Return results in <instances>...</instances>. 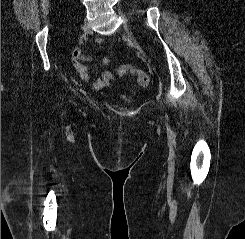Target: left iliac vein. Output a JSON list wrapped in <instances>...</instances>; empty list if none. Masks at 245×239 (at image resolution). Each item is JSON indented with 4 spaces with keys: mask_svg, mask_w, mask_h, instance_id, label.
<instances>
[{
    "mask_svg": "<svg viewBox=\"0 0 245 239\" xmlns=\"http://www.w3.org/2000/svg\"><path fill=\"white\" fill-rule=\"evenodd\" d=\"M125 36L128 38V40L130 42H132L135 45V47L140 51V53L144 57H146V54L144 53L143 49L141 48V46L139 45V43L137 42V40L133 37V35L128 30H126Z\"/></svg>",
    "mask_w": 245,
    "mask_h": 239,
    "instance_id": "4c4485c4",
    "label": "left iliac vein"
}]
</instances>
